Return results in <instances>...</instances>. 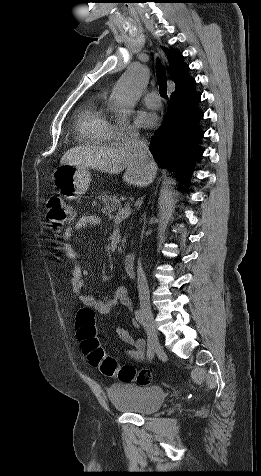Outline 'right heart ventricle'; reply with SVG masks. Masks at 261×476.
Listing matches in <instances>:
<instances>
[{
	"label": "right heart ventricle",
	"instance_id": "obj_1",
	"mask_svg": "<svg viewBox=\"0 0 261 476\" xmlns=\"http://www.w3.org/2000/svg\"><path fill=\"white\" fill-rule=\"evenodd\" d=\"M105 96L96 95L84 105L78 121L82 139L91 144H107L113 140L114 124L104 104Z\"/></svg>",
	"mask_w": 261,
	"mask_h": 476
}]
</instances>
